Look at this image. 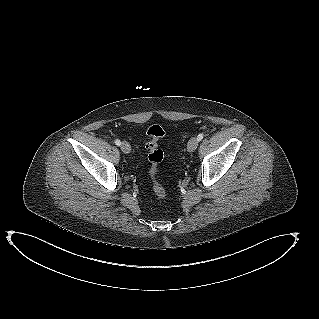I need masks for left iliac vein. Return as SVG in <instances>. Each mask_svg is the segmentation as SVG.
<instances>
[{
    "instance_id": "4c4485c4",
    "label": "left iliac vein",
    "mask_w": 319,
    "mask_h": 319,
    "mask_svg": "<svg viewBox=\"0 0 319 319\" xmlns=\"http://www.w3.org/2000/svg\"><path fill=\"white\" fill-rule=\"evenodd\" d=\"M198 139L196 137H192L189 142H188V145H187V148H188V151L189 152H193L197 149L198 147Z\"/></svg>"
}]
</instances>
